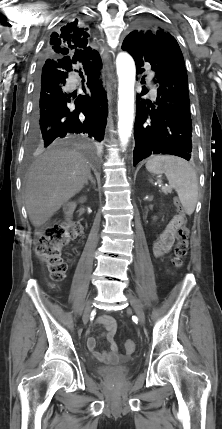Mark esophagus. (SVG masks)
<instances>
[{
    "mask_svg": "<svg viewBox=\"0 0 222 429\" xmlns=\"http://www.w3.org/2000/svg\"><path fill=\"white\" fill-rule=\"evenodd\" d=\"M109 52H110L109 47L106 44H104V46H103V55H104V59L106 61H108V62L110 60Z\"/></svg>",
    "mask_w": 222,
    "mask_h": 429,
    "instance_id": "1",
    "label": "esophagus"
}]
</instances>
